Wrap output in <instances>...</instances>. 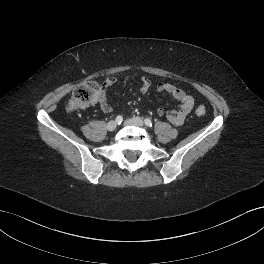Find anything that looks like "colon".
Returning a JSON list of instances; mask_svg holds the SVG:
<instances>
[{"mask_svg": "<svg viewBox=\"0 0 264 264\" xmlns=\"http://www.w3.org/2000/svg\"><path fill=\"white\" fill-rule=\"evenodd\" d=\"M100 94L101 86L98 83L94 81L85 82L74 90L72 98L69 102V108L73 110L87 107L97 102ZM205 113L206 110L203 106L197 107L196 114L198 116H203Z\"/></svg>", "mask_w": 264, "mask_h": 264, "instance_id": "obj_1", "label": "colon"}]
</instances>
